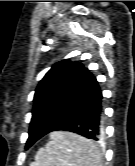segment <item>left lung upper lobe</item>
<instances>
[{"mask_svg":"<svg viewBox=\"0 0 135 166\" xmlns=\"http://www.w3.org/2000/svg\"><path fill=\"white\" fill-rule=\"evenodd\" d=\"M83 69L80 62L69 60L52 66L36 88L31 124L43 123L61 108Z\"/></svg>","mask_w":135,"mask_h":166,"instance_id":"left-lung-upper-lobe-1","label":"left lung upper lobe"}]
</instances>
